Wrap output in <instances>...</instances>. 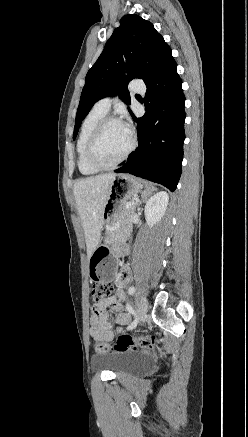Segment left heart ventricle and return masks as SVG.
I'll use <instances>...</instances> for the list:
<instances>
[{
  "instance_id": "left-heart-ventricle-1",
  "label": "left heart ventricle",
  "mask_w": 248,
  "mask_h": 437,
  "mask_svg": "<svg viewBox=\"0 0 248 437\" xmlns=\"http://www.w3.org/2000/svg\"><path fill=\"white\" fill-rule=\"evenodd\" d=\"M130 135L121 123H110L103 130L96 146V156L103 164L116 161L128 148Z\"/></svg>"
}]
</instances>
